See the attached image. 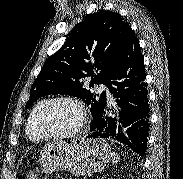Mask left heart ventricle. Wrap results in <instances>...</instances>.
Returning a JSON list of instances; mask_svg holds the SVG:
<instances>
[{
    "mask_svg": "<svg viewBox=\"0 0 183 179\" xmlns=\"http://www.w3.org/2000/svg\"><path fill=\"white\" fill-rule=\"evenodd\" d=\"M80 121V111L72 103L53 104L45 114L43 125L50 133H65L74 129Z\"/></svg>",
    "mask_w": 183,
    "mask_h": 179,
    "instance_id": "obj_1",
    "label": "left heart ventricle"
}]
</instances>
